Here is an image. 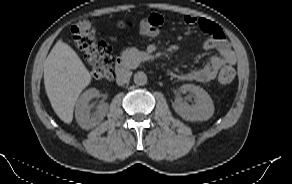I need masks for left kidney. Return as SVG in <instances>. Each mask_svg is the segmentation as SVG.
<instances>
[{
    "label": "left kidney",
    "instance_id": "1",
    "mask_svg": "<svg viewBox=\"0 0 292 184\" xmlns=\"http://www.w3.org/2000/svg\"><path fill=\"white\" fill-rule=\"evenodd\" d=\"M180 92H190L194 95L195 105H189L181 98H176L172 107L177 114L187 121H205L212 117L214 105L209 94L201 87L185 84Z\"/></svg>",
    "mask_w": 292,
    "mask_h": 184
}]
</instances>
